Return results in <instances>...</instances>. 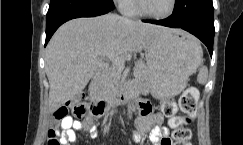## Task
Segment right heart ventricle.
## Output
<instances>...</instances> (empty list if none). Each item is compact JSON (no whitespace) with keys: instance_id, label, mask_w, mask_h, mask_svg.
Masks as SVG:
<instances>
[{"instance_id":"1","label":"right heart ventricle","mask_w":243,"mask_h":145,"mask_svg":"<svg viewBox=\"0 0 243 145\" xmlns=\"http://www.w3.org/2000/svg\"><path fill=\"white\" fill-rule=\"evenodd\" d=\"M123 10H124V13L129 16H133L138 13L135 8L134 0H131V2Z\"/></svg>"}]
</instances>
